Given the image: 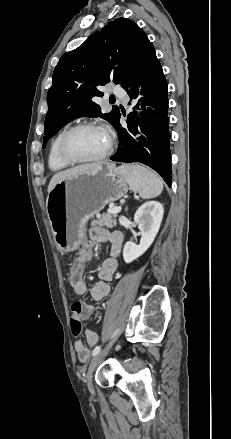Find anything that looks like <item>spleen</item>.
I'll use <instances>...</instances> for the list:
<instances>
[{"instance_id": "3e777b00", "label": "spleen", "mask_w": 231, "mask_h": 439, "mask_svg": "<svg viewBox=\"0 0 231 439\" xmlns=\"http://www.w3.org/2000/svg\"><path fill=\"white\" fill-rule=\"evenodd\" d=\"M117 170L125 177L131 190L144 199L157 197L163 190L160 177L141 165H122Z\"/></svg>"}]
</instances>
